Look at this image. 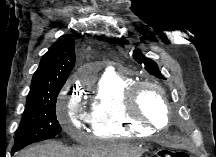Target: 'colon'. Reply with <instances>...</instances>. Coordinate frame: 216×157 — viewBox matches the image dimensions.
<instances>
[{
    "label": "colon",
    "instance_id": "5ec220e1",
    "mask_svg": "<svg viewBox=\"0 0 216 157\" xmlns=\"http://www.w3.org/2000/svg\"><path fill=\"white\" fill-rule=\"evenodd\" d=\"M156 157H189V154L184 150L161 149Z\"/></svg>",
    "mask_w": 216,
    "mask_h": 157
}]
</instances>
